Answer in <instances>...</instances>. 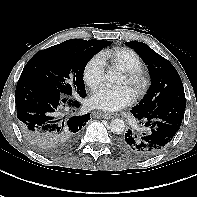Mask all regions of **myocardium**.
Returning a JSON list of instances; mask_svg holds the SVG:
<instances>
[{
    "mask_svg": "<svg viewBox=\"0 0 197 197\" xmlns=\"http://www.w3.org/2000/svg\"><path fill=\"white\" fill-rule=\"evenodd\" d=\"M125 78L127 84L131 87L136 97L143 96L150 83L148 72L140 67L134 70L126 71Z\"/></svg>",
    "mask_w": 197,
    "mask_h": 197,
    "instance_id": "myocardium-1",
    "label": "myocardium"
}]
</instances>
